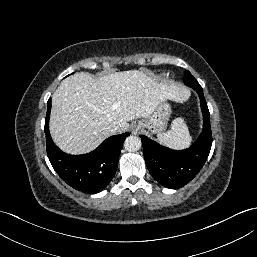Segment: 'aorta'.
<instances>
[{"mask_svg": "<svg viewBox=\"0 0 257 257\" xmlns=\"http://www.w3.org/2000/svg\"><path fill=\"white\" fill-rule=\"evenodd\" d=\"M124 147L129 152L138 151L141 148V140L136 136H129L124 141Z\"/></svg>", "mask_w": 257, "mask_h": 257, "instance_id": "1", "label": "aorta"}]
</instances>
